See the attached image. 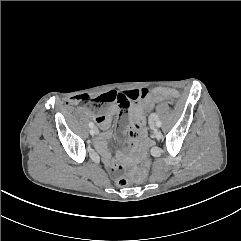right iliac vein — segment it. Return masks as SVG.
<instances>
[{
    "instance_id": "1",
    "label": "right iliac vein",
    "mask_w": 241,
    "mask_h": 241,
    "mask_svg": "<svg viewBox=\"0 0 241 241\" xmlns=\"http://www.w3.org/2000/svg\"><path fill=\"white\" fill-rule=\"evenodd\" d=\"M97 133H98V129L96 127H93V128L90 129V134L92 136L96 135Z\"/></svg>"
}]
</instances>
